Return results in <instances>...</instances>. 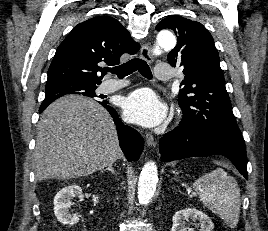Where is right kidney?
I'll return each instance as SVG.
<instances>
[{"mask_svg": "<svg viewBox=\"0 0 268 231\" xmlns=\"http://www.w3.org/2000/svg\"><path fill=\"white\" fill-rule=\"evenodd\" d=\"M82 193V188L76 184L69 185L62 188L54 198V213L57 220L64 224L73 226L79 221V218L69 212V208L72 205L71 199ZM98 197L93 195L94 205L98 203Z\"/></svg>", "mask_w": 268, "mask_h": 231, "instance_id": "1", "label": "right kidney"}]
</instances>
